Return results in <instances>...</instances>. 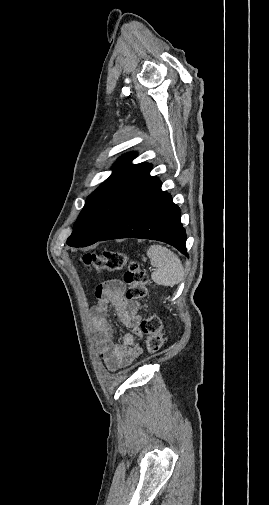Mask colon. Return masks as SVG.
Returning a JSON list of instances; mask_svg holds the SVG:
<instances>
[{"label": "colon", "instance_id": "colon-1", "mask_svg": "<svg viewBox=\"0 0 269 505\" xmlns=\"http://www.w3.org/2000/svg\"><path fill=\"white\" fill-rule=\"evenodd\" d=\"M86 265L96 271H118L125 269L124 282L127 285L126 298L140 300L146 297L148 292L149 277L140 264L130 259L122 251L106 250L101 254L91 253L83 257ZM95 273V278H100V273ZM142 333L146 335V348L149 353L159 352L165 345V335L162 330V322L157 315H150L140 323Z\"/></svg>", "mask_w": 269, "mask_h": 505}]
</instances>
